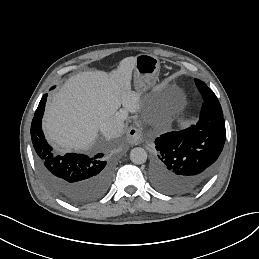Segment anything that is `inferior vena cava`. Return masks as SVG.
<instances>
[{
	"mask_svg": "<svg viewBox=\"0 0 259 259\" xmlns=\"http://www.w3.org/2000/svg\"><path fill=\"white\" fill-rule=\"evenodd\" d=\"M127 117V113L119 111L115 115L105 120L100 125V131L106 138H117L123 134L124 120Z\"/></svg>",
	"mask_w": 259,
	"mask_h": 259,
	"instance_id": "obj_1",
	"label": "inferior vena cava"
}]
</instances>
